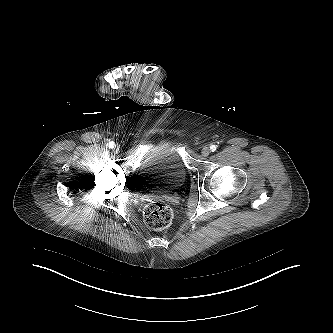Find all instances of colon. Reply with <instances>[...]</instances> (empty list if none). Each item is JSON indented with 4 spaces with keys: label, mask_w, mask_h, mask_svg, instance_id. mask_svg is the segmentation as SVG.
<instances>
[{
    "label": "colon",
    "mask_w": 333,
    "mask_h": 333,
    "mask_svg": "<svg viewBox=\"0 0 333 333\" xmlns=\"http://www.w3.org/2000/svg\"><path fill=\"white\" fill-rule=\"evenodd\" d=\"M144 222L154 230H162L167 228L173 219L172 209L161 202H153L148 204L144 209Z\"/></svg>",
    "instance_id": "colon-1"
}]
</instances>
